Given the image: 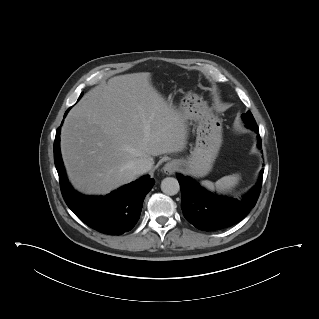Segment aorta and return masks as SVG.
I'll return each instance as SVG.
<instances>
[{
    "instance_id": "obj_1",
    "label": "aorta",
    "mask_w": 319,
    "mask_h": 319,
    "mask_svg": "<svg viewBox=\"0 0 319 319\" xmlns=\"http://www.w3.org/2000/svg\"><path fill=\"white\" fill-rule=\"evenodd\" d=\"M161 190L166 195H175L180 190V185L177 179L173 177H167L161 182Z\"/></svg>"
}]
</instances>
